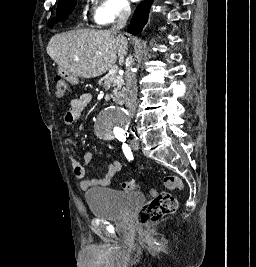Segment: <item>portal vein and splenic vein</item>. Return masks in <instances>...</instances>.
I'll return each mask as SVG.
<instances>
[{
    "instance_id": "1",
    "label": "portal vein and splenic vein",
    "mask_w": 256,
    "mask_h": 267,
    "mask_svg": "<svg viewBox=\"0 0 256 267\" xmlns=\"http://www.w3.org/2000/svg\"><path fill=\"white\" fill-rule=\"evenodd\" d=\"M109 74H117V68H112V70H109Z\"/></svg>"
}]
</instances>
